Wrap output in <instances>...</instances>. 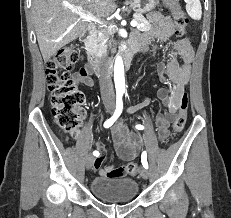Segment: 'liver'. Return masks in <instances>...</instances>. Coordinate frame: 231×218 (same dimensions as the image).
Returning a JSON list of instances; mask_svg holds the SVG:
<instances>
[{
  "label": "liver",
  "mask_w": 231,
  "mask_h": 218,
  "mask_svg": "<svg viewBox=\"0 0 231 218\" xmlns=\"http://www.w3.org/2000/svg\"><path fill=\"white\" fill-rule=\"evenodd\" d=\"M81 6L84 13L106 17L117 7L115 0H32L31 13L38 45L45 62L59 49L83 36L87 20L73 12Z\"/></svg>",
  "instance_id": "1"
}]
</instances>
